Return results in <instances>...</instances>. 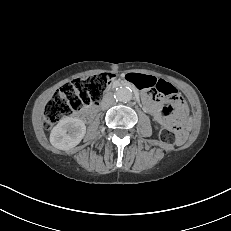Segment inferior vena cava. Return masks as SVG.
Here are the masks:
<instances>
[{"label": "inferior vena cava", "mask_w": 231, "mask_h": 231, "mask_svg": "<svg viewBox=\"0 0 231 231\" xmlns=\"http://www.w3.org/2000/svg\"><path fill=\"white\" fill-rule=\"evenodd\" d=\"M114 103V98L111 95H107L105 96L103 102H102V108H108L110 106H112Z\"/></svg>", "instance_id": "inferior-vena-cava-1"}]
</instances>
